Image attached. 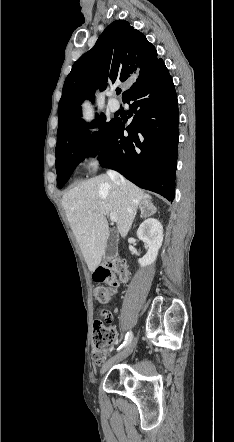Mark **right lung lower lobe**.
<instances>
[{"mask_svg":"<svg viewBox=\"0 0 234 442\" xmlns=\"http://www.w3.org/2000/svg\"><path fill=\"white\" fill-rule=\"evenodd\" d=\"M131 124L116 120L100 153V164L137 186L174 199L178 145V104L169 72L158 68L135 82L123 99ZM128 136L123 135L124 130Z\"/></svg>","mask_w":234,"mask_h":442,"instance_id":"1","label":"right lung lower lobe"}]
</instances>
